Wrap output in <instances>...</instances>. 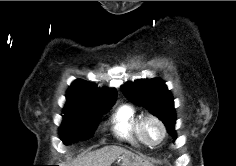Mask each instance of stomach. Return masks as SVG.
I'll return each instance as SVG.
<instances>
[{
    "label": "stomach",
    "instance_id": "1",
    "mask_svg": "<svg viewBox=\"0 0 236 166\" xmlns=\"http://www.w3.org/2000/svg\"><path fill=\"white\" fill-rule=\"evenodd\" d=\"M122 166H132L131 162L133 161L132 155H125L121 158Z\"/></svg>",
    "mask_w": 236,
    "mask_h": 166
}]
</instances>
